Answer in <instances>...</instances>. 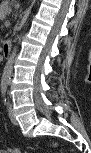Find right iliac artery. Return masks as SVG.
<instances>
[{
    "label": "right iliac artery",
    "instance_id": "right-iliac-artery-1",
    "mask_svg": "<svg viewBox=\"0 0 91 153\" xmlns=\"http://www.w3.org/2000/svg\"><path fill=\"white\" fill-rule=\"evenodd\" d=\"M6 89H7V87H6V86H2V94H3V96H5Z\"/></svg>",
    "mask_w": 91,
    "mask_h": 153
}]
</instances>
